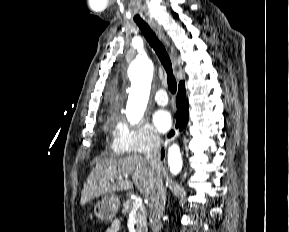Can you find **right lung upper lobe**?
Returning a JSON list of instances; mask_svg holds the SVG:
<instances>
[{
    "label": "right lung upper lobe",
    "instance_id": "right-lung-upper-lobe-1",
    "mask_svg": "<svg viewBox=\"0 0 289 232\" xmlns=\"http://www.w3.org/2000/svg\"><path fill=\"white\" fill-rule=\"evenodd\" d=\"M182 86H184V81H181V82L179 83V87H182Z\"/></svg>",
    "mask_w": 289,
    "mask_h": 232
}]
</instances>
